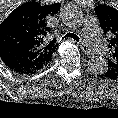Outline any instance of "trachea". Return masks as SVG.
I'll use <instances>...</instances> for the list:
<instances>
[{
  "mask_svg": "<svg viewBox=\"0 0 118 118\" xmlns=\"http://www.w3.org/2000/svg\"><path fill=\"white\" fill-rule=\"evenodd\" d=\"M64 38H73L74 40L79 41V37L74 33H67L62 39Z\"/></svg>",
  "mask_w": 118,
  "mask_h": 118,
  "instance_id": "1",
  "label": "trachea"
}]
</instances>
